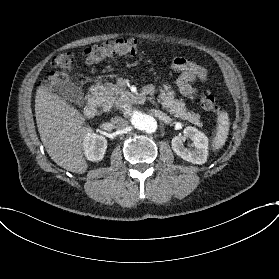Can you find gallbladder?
I'll use <instances>...</instances> for the list:
<instances>
[{"label":"gallbladder","instance_id":"1","mask_svg":"<svg viewBox=\"0 0 279 279\" xmlns=\"http://www.w3.org/2000/svg\"><path fill=\"white\" fill-rule=\"evenodd\" d=\"M54 86L57 94L79 108L86 104L84 89L77 82L67 78L65 80H57Z\"/></svg>","mask_w":279,"mask_h":279}]
</instances>
